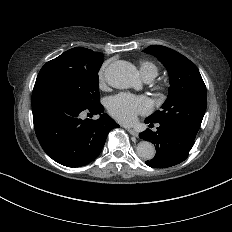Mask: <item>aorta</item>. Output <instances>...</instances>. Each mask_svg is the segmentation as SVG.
Masks as SVG:
<instances>
[{
  "instance_id": "1",
  "label": "aorta",
  "mask_w": 232,
  "mask_h": 232,
  "mask_svg": "<svg viewBox=\"0 0 232 232\" xmlns=\"http://www.w3.org/2000/svg\"><path fill=\"white\" fill-rule=\"evenodd\" d=\"M106 82L116 89H127L137 84V76L132 65L125 61L111 63L105 72ZM137 154L144 160L155 156V147L149 141H141L136 148Z\"/></svg>"
}]
</instances>
